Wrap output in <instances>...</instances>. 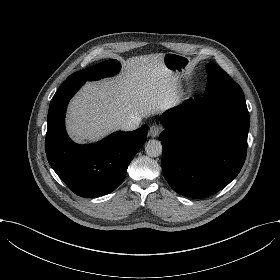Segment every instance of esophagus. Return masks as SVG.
<instances>
[{
    "mask_svg": "<svg viewBox=\"0 0 280 280\" xmlns=\"http://www.w3.org/2000/svg\"><path fill=\"white\" fill-rule=\"evenodd\" d=\"M160 131H161V127L157 124H154L150 127L149 136L152 138L157 137Z\"/></svg>",
    "mask_w": 280,
    "mask_h": 280,
    "instance_id": "obj_1",
    "label": "esophagus"
}]
</instances>
